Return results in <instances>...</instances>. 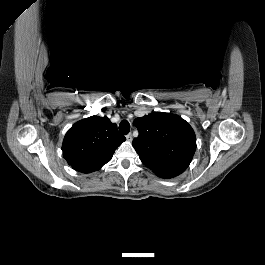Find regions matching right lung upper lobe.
<instances>
[{
  "label": "right lung upper lobe",
  "mask_w": 265,
  "mask_h": 265,
  "mask_svg": "<svg viewBox=\"0 0 265 265\" xmlns=\"http://www.w3.org/2000/svg\"><path fill=\"white\" fill-rule=\"evenodd\" d=\"M126 138L107 117L91 116L76 122L66 133L62 151L76 171L90 173L109 162Z\"/></svg>",
  "instance_id": "obj_1"
}]
</instances>
